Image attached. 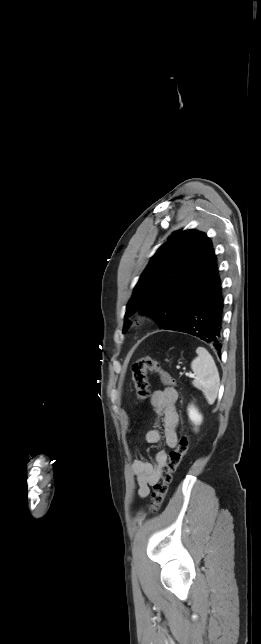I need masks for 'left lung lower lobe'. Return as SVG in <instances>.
Here are the masks:
<instances>
[{
  "mask_svg": "<svg viewBox=\"0 0 261 644\" xmlns=\"http://www.w3.org/2000/svg\"><path fill=\"white\" fill-rule=\"evenodd\" d=\"M223 316L224 296L222 281L218 274L211 286L192 304L185 314L165 329L196 336L211 344L220 356Z\"/></svg>",
  "mask_w": 261,
  "mask_h": 644,
  "instance_id": "left-lung-lower-lobe-1",
  "label": "left lung lower lobe"
}]
</instances>
